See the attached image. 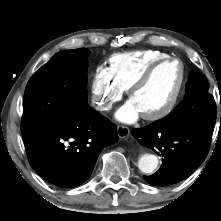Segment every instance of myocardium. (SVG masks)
<instances>
[{"mask_svg":"<svg viewBox=\"0 0 221 221\" xmlns=\"http://www.w3.org/2000/svg\"><path fill=\"white\" fill-rule=\"evenodd\" d=\"M170 62H176L180 65V69H181V77H180V81L178 84V87L174 93V95L172 96V98L170 99V101L160 110L154 112V113H147V114H142L143 119L147 120V121H158L161 120L163 118H165L166 116H168L176 107V105L178 104L183 91L185 89V85L187 82V69L186 66L184 64V62L179 59V58H175V57H166L163 59H159L155 62H153L151 65H149L145 71L131 84V86L127 89V94L129 96V98L131 99L133 94L138 91L140 88H142L152 77V75L155 73V71L160 68L161 66L170 63Z\"/></svg>","mask_w":221,"mask_h":221,"instance_id":"myocardium-1","label":"myocardium"}]
</instances>
